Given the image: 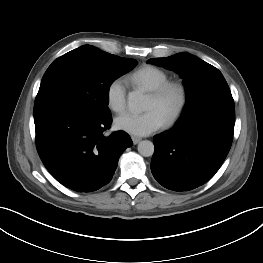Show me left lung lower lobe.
Here are the masks:
<instances>
[{"mask_svg": "<svg viewBox=\"0 0 263 263\" xmlns=\"http://www.w3.org/2000/svg\"><path fill=\"white\" fill-rule=\"evenodd\" d=\"M234 107L222 106L176 125L153 138L154 178L163 187L189 191L206 183L224 162L233 139Z\"/></svg>", "mask_w": 263, "mask_h": 263, "instance_id": "1", "label": "left lung lower lobe"}]
</instances>
